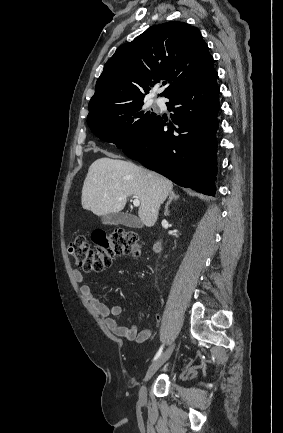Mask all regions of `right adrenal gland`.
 <instances>
[{"instance_id": "2a0ac1e0", "label": "right adrenal gland", "mask_w": 283, "mask_h": 433, "mask_svg": "<svg viewBox=\"0 0 283 433\" xmlns=\"http://www.w3.org/2000/svg\"><path fill=\"white\" fill-rule=\"evenodd\" d=\"M178 198H179V194H175L174 190H170L169 200H168V202H166V206H165V210H164L165 217H169V204H170V202H172V200H178Z\"/></svg>"}]
</instances>
